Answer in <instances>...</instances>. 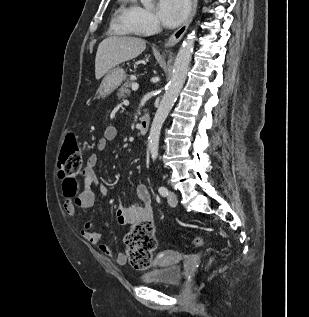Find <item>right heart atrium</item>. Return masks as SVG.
<instances>
[{"label": "right heart atrium", "mask_w": 309, "mask_h": 317, "mask_svg": "<svg viewBox=\"0 0 309 317\" xmlns=\"http://www.w3.org/2000/svg\"><path fill=\"white\" fill-rule=\"evenodd\" d=\"M129 24L140 33H148L158 28V20L149 9L134 4L128 15Z\"/></svg>", "instance_id": "right-heart-atrium-1"}]
</instances>
